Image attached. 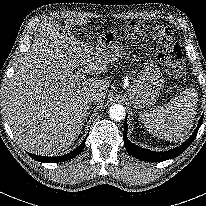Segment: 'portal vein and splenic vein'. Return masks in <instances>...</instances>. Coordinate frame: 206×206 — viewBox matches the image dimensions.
I'll return each instance as SVG.
<instances>
[{
    "label": "portal vein and splenic vein",
    "mask_w": 206,
    "mask_h": 206,
    "mask_svg": "<svg viewBox=\"0 0 206 206\" xmlns=\"http://www.w3.org/2000/svg\"><path fill=\"white\" fill-rule=\"evenodd\" d=\"M73 78H74L76 81H80L81 78H82V75H81V73L78 71V72H75V73L73 74Z\"/></svg>",
    "instance_id": "18ae733b"
}]
</instances>
